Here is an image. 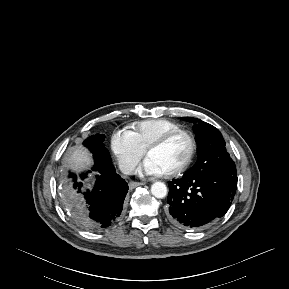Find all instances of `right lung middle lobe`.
Listing matches in <instances>:
<instances>
[{
	"label": "right lung middle lobe",
	"instance_id": "obj_1",
	"mask_svg": "<svg viewBox=\"0 0 289 289\" xmlns=\"http://www.w3.org/2000/svg\"><path fill=\"white\" fill-rule=\"evenodd\" d=\"M105 135L104 134H95L88 137L83 144L87 146L92 152H101L106 155H109L108 150L104 147Z\"/></svg>",
	"mask_w": 289,
	"mask_h": 289
}]
</instances>
